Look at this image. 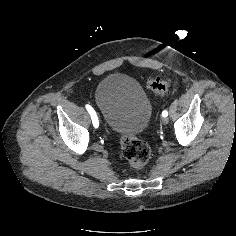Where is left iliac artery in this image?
I'll return each mask as SVG.
<instances>
[{
    "instance_id": "obj_1",
    "label": "left iliac artery",
    "mask_w": 236,
    "mask_h": 236,
    "mask_svg": "<svg viewBox=\"0 0 236 236\" xmlns=\"http://www.w3.org/2000/svg\"><path fill=\"white\" fill-rule=\"evenodd\" d=\"M162 116H163V117H167V116H168L167 110H164V111L162 112Z\"/></svg>"
}]
</instances>
